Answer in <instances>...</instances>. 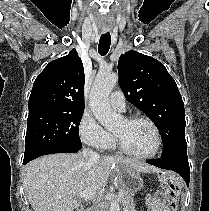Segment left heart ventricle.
I'll list each match as a JSON object with an SVG mask.
<instances>
[{
    "mask_svg": "<svg viewBox=\"0 0 209 211\" xmlns=\"http://www.w3.org/2000/svg\"><path fill=\"white\" fill-rule=\"evenodd\" d=\"M124 146L132 153L143 155L150 153L156 143L154 131L145 122L128 123L122 120L114 129Z\"/></svg>",
    "mask_w": 209,
    "mask_h": 211,
    "instance_id": "obj_1",
    "label": "left heart ventricle"
}]
</instances>
